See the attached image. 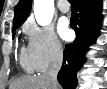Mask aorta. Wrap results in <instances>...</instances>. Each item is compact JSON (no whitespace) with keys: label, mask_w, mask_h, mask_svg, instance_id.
Wrapping results in <instances>:
<instances>
[{"label":"aorta","mask_w":107,"mask_h":89,"mask_svg":"<svg viewBox=\"0 0 107 89\" xmlns=\"http://www.w3.org/2000/svg\"><path fill=\"white\" fill-rule=\"evenodd\" d=\"M34 15L39 25H49L54 15V0H34Z\"/></svg>","instance_id":"aorta-1"}]
</instances>
